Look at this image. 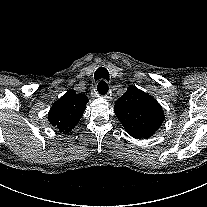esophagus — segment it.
<instances>
[{
	"mask_svg": "<svg viewBox=\"0 0 207 207\" xmlns=\"http://www.w3.org/2000/svg\"><path fill=\"white\" fill-rule=\"evenodd\" d=\"M100 81H101V80H100ZM93 92H94V95H95V96H98V91H97L96 87H95V89L93 90ZM104 97H107V95H106V96L104 95Z\"/></svg>",
	"mask_w": 207,
	"mask_h": 207,
	"instance_id": "obj_1",
	"label": "esophagus"
}]
</instances>
